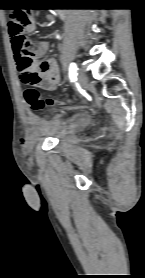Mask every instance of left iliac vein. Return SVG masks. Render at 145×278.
<instances>
[{
  "mask_svg": "<svg viewBox=\"0 0 145 278\" xmlns=\"http://www.w3.org/2000/svg\"><path fill=\"white\" fill-rule=\"evenodd\" d=\"M77 78H78L79 83L83 86L86 85L88 82V77H87L85 71L82 69L78 70Z\"/></svg>",
  "mask_w": 145,
  "mask_h": 278,
  "instance_id": "1",
  "label": "left iliac vein"
}]
</instances>
